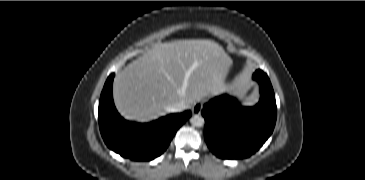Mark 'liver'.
<instances>
[{"mask_svg":"<svg viewBox=\"0 0 365 180\" xmlns=\"http://www.w3.org/2000/svg\"><path fill=\"white\" fill-rule=\"evenodd\" d=\"M232 59L207 39L155 44L114 79L115 105L128 120L150 121L183 101H195L224 90Z\"/></svg>","mask_w":365,"mask_h":180,"instance_id":"1","label":"liver"}]
</instances>
